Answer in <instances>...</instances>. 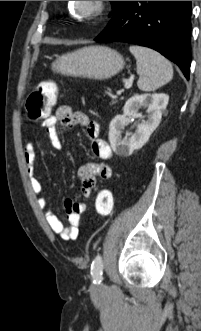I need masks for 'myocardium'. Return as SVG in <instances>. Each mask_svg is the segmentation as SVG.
<instances>
[{
  "instance_id": "obj_1",
  "label": "myocardium",
  "mask_w": 201,
  "mask_h": 331,
  "mask_svg": "<svg viewBox=\"0 0 201 331\" xmlns=\"http://www.w3.org/2000/svg\"><path fill=\"white\" fill-rule=\"evenodd\" d=\"M91 4L89 10H83L81 4L83 1H73V8L76 13L83 18H96L103 14L107 7V1H88Z\"/></svg>"
}]
</instances>
